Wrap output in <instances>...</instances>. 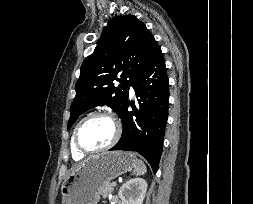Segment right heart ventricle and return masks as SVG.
<instances>
[{
  "label": "right heart ventricle",
  "instance_id": "obj_1",
  "mask_svg": "<svg viewBox=\"0 0 253 204\" xmlns=\"http://www.w3.org/2000/svg\"><path fill=\"white\" fill-rule=\"evenodd\" d=\"M73 135H74V132H73ZM73 135H72V137H71V142H70L71 154H72V157H73V159H74L75 161H79V160H81V159L84 157V155L81 154V153H79V152L76 150V148H75V146H74V142H73Z\"/></svg>",
  "mask_w": 253,
  "mask_h": 204
}]
</instances>
